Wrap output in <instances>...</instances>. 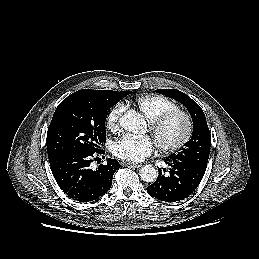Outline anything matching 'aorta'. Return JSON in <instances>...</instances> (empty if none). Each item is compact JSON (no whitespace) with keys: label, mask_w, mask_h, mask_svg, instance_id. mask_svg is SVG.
Wrapping results in <instances>:
<instances>
[{"label":"aorta","mask_w":259,"mask_h":259,"mask_svg":"<svg viewBox=\"0 0 259 259\" xmlns=\"http://www.w3.org/2000/svg\"><path fill=\"white\" fill-rule=\"evenodd\" d=\"M122 128L134 134H144L147 124L143 116L136 111H128L119 119ZM140 178L145 182H154L158 172L152 165H145L140 169Z\"/></svg>","instance_id":"aorta-1"}]
</instances>
